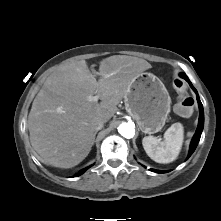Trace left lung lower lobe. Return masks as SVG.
<instances>
[{"label": "left lung lower lobe", "mask_w": 221, "mask_h": 221, "mask_svg": "<svg viewBox=\"0 0 221 221\" xmlns=\"http://www.w3.org/2000/svg\"><path fill=\"white\" fill-rule=\"evenodd\" d=\"M180 76L189 83L191 88L196 93L197 101H198V105H199V111H200L198 127L196 129V133L194 134L193 139H192L191 144H190V149H189V153H188V156H187V159H188L192 155L194 150L196 149L197 144H198V142L200 140L201 133H202V130H203V125H204V111H203V105H202V103H201V101L199 99L198 93H197L196 89L193 87V85L190 82V80L187 77V75L184 74V73H181ZM150 170L153 171V172H156V173H165L166 172V171H159V170H154V169H150Z\"/></svg>", "instance_id": "obj_1"}]
</instances>
